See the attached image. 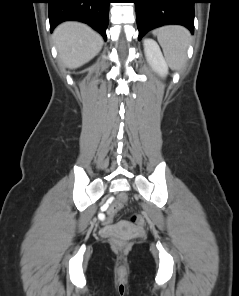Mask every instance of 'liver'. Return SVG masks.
<instances>
[{
	"mask_svg": "<svg viewBox=\"0 0 239 296\" xmlns=\"http://www.w3.org/2000/svg\"><path fill=\"white\" fill-rule=\"evenodd\" d=\"M61 62L75 69L93 59L101 50L103 39L89 26L79 22H64L53 33Z\"/></svg>",
	"mask_w": 239,
	"mask_h": 296,
	"instance_id": "1",
	"label": "liver"
}]
</instances>
